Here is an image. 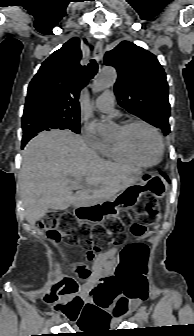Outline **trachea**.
<instances>
[{"label":"trachea","mask_w":194,"mask_h":336,"mask_svg":"<svg viewBox=\"0 0 194 336\" xmlns=\"http://www.w3.org/2000/svg\"><path fill=\"white\" fill-rule=\"evenodd\" d=\"M97 71H98V65L96 61L92 59L88 64V74L90 78H93L96 75Z\"/></svg>","instance_id":"obj_1"}]
</instances>
